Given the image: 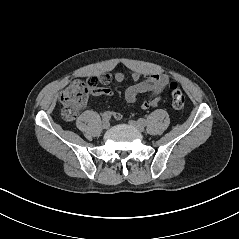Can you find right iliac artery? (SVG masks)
Returning a JSON list of instances; mask_svg holds the SVG:
<instances>
[{
	"label": "right iliac artery",
	"instance_id": "obj_1",
	"mask_svg": "<svg viewBox=\"0 0 239 239\" xmlns=\"http://www.w3.org/2000/svg\"><path fill=\"white\" fill-rule=\"evenodd\" d=\"M110 118H111V112L106 111V112L103 113V115H102L103 121H109Z\"/></svg>",
	"mask_w": 239,
	"mask_h": 239
}]
</instances>
